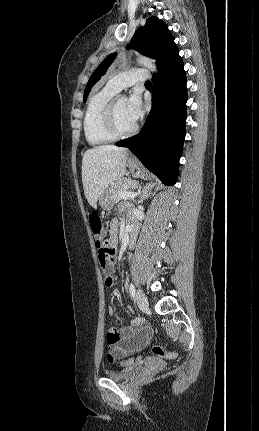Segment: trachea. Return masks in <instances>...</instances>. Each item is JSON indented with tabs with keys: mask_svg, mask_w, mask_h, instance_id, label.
Wrapping results in <instances>:
<instances>
[{
	"mask_svg": "<svg viewBox=\"0 0 259 431\" xmlns=\"http://www.w3.org/2000/svg\"><path fill=\"white\" fill-rule=\"evenodd\" d=\"M145 85H152V83L150 81H146Z\"/></svg>",
	"mask_w": 259,
	"mask_h": 431,
	"instance_id": "obj_1",
	"label": "trachea"
}]
</instances>
